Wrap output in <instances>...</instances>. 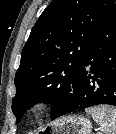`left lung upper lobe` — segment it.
I'll return each mask as SVG.
<instances>
[{
  "mask_svg": "<svg viewBox=\"0 0 116 134\" xmlns=\"http://www.w3.org/2000/svg\"><path fill=\"white\" fill-rule=\"evenodd\" d=\"M113 0H53L31 30L15 75L17 122L32 105L51 103V117L72 98L97 31Z\"/></svg>",
  "mask_w": 116,
  "mask_h": 134,
  "instance_id": "5c2ea615",
  "label": "left lung upper lobe"
}]
</instances>
